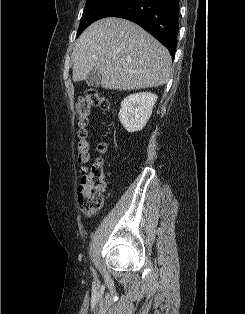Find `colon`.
I'll return each mask as SVG.
<instances>
[{
	"label": "colon",
	"instance_id": "5ec220e1",
	"mask_svg": "<svg viewBox=\"0 0 245 314\" xmlns=\"http://www.w3.org/2000/svg\"><path fill=\"white\" fill-rule=\"evenodd\" d=\"M93 107H99L108 111L110 103L106 97L95 89L84 92L76 105V127H77V161L82 172L81 184L78 190V203L81 211L87 217L94 216L100 209L102 193L105 188V169L101 158L91 161L89 138V118ZM100 153L107 150V144L101 142L98 146Z\"/></svg>",
	"mask_w": 245,
	"mask_h": 314
}]
</instances>
